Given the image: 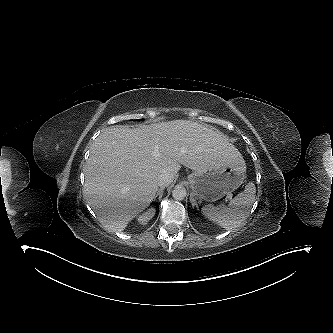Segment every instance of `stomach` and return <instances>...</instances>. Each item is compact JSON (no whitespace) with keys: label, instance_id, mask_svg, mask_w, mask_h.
Wrapping results in <instances>:
<instances>
[{"label":"stomach","instance_id":"0dacf381","mask_svg":"<svg viewBox=\"0 0 333 333\" xmlns=\"http://www.w3.org/2000/svg\"><path fill=\"white\" fill-rule=\"evenodd\" d=\"M246 166L242 158L205 171H195L188 176L193 194L199 200L214 202L236 190L245 177Z\"/></svg>","mask_w":333,"mask_h":333}]
</instances>
